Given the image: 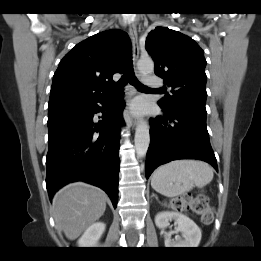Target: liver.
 I'll use <instances>...</instances> for the list:
<instances>
[{
	"mask_svg": "<svg viewBox=\"0 0 261 261\" xmlns=\"http://www.w3.org/2000/svg\"><path fill=\"white\" fill-rule=\"evenodd\" d=\"M106 194L101 189L73 183L61 189L53 199L54 219L69 240H75L106 209Z\"/></svg>",
	"mask_w": 261,
	"mask_h": 261,
	"instance_id": "liver-1",
	"label": "liver"
}]
</instances>
